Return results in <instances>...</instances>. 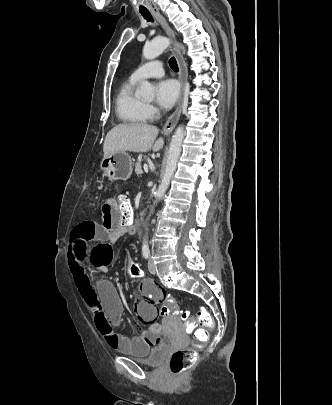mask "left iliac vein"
Returning a JSON list of instances; mask_svg holds the SVG:
<instances>
[{"label":"left iliac vein","instance_id":"4c4485c4","mask_svg":"<svg viewBox=\"0 0 332 405\" xmlns=\"http://www.w3.org/2000/svg\"><path fill=\"white\" fill-rule=\"evenodd\" d=\"M148 269H149L150 273H152V274L156 273V267H155L154 260L152 257L149 258Z\"/></svg>","mask_w":332,"mask_h":405}]
</instances>
